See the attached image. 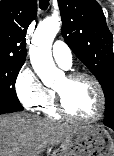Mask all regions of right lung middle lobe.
<instances>
[{"mask_svg": "<svg viewBox=\"0 0 114 156\" xmlns=\"http://www.w3.org/2000/svg\"><path fill=\"white\" fill-rule=\"evenodd\" d=\"M24 62L0 60V108L23 110L16 92L15 82Z\"/></svg>", "mask_w": 114, "mask_h": 156, "instance_id": "obj_1", "label": "right lung middle lobe"}]
</instances>
